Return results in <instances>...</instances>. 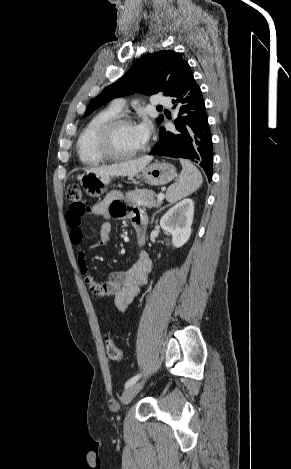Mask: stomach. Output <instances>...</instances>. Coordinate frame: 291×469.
<instances>
[{
  "label": "stomach",
  "mask_w": 291,
  "mask_h": 469,
  "mask_svg": "<svg viewBox=\"0 0 291 469\" xmlns=\"http://www.w3.org/2000/svg\"><path fill=\"white\" fill-rule=\"evenodd\" d=\"M139 177L151 185H165L176 177V170L172 164L155 162L147 165L141 171ZM80 182L89 196L100 197L107 191L111 177L95 173H86L81 176Z\"/></svg>",
  "instance_id": "1"
}]
</instances>
